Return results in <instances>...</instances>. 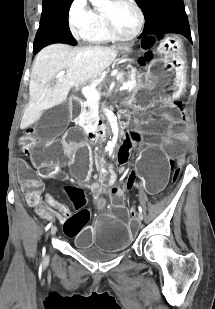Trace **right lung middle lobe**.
Segmentation results:
<instances>
[{"mask_svg": "<svg viewBox=\"0 0 215 309\" xmlns=\"http://www.w3.org/2000/svg\"><path fill=\"white\" fill-rule=\"evenodd\" d=\"M73 0H43L40 27L34 40V52H39L51 43L76 45L69 25L68 14Z\"/></svg>", "mask_w": 215, "mask_h": 309, "instance_id": "dd1d6c3e", "label": "right lung middle lobe"}]
</instances>
